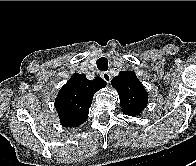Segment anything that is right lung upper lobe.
Masks as SVG:
<instances>
[{"instance_id": "right-lung-upper-lobe-1", "label": "right lung upper lobe", "mask_w": 196, "mask_h": 166, "mask_svg": "<svg viewBox=\"0 0 196 166\" xmlns=\"http://www.w3.org/2000/svg\"><path fill=\"white\" fill-rule=\"evenodd\" d=\"M107 83L99 76L90 81L84 74L74 73L60 89L55 107L60 123L66 127H78L87 120L95 92Z\"/></svg>"}]
</instances>
